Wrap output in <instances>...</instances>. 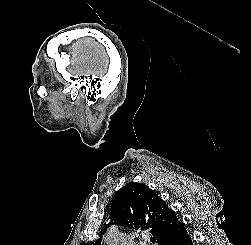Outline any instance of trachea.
Instances as JSON below:
<instances>
[{"label":"trachea","instance_id":"trachea-1","mask_svg":"<svg viewBox=\"0 0 251 245\" xmlns=\"http://www.w3.org/2000/svg\"><path fill=\"white\" fill-rule=\"evenodd\" d=\"M150 241L154 244L155 241H156V239H155L154 237H151V238H150Z\"/></svg>","mask_w":251,"mask_h":245}]
</instances>
